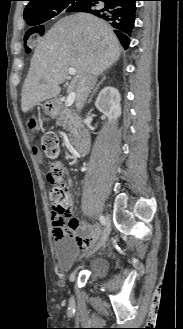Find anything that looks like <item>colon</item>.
<instances>
[{
    "label": "colon",
    "mask_w": 183,
    "mask_h": 329,
    "mask_svg": "<svg viewBox=\"0 0 183 329\" xmlns=\"http://www.w3.org/2000/svg\"><path fill=\"white\" fill-rule=\"evenodd\" d=\"M28 31H22L20 43L24 49H41L44 32H49V25H28ZM41 146L45 155L55 158L58 155V138L54 132H46L41 137ZM63 173L61 170L50 168L47 179L52 184L50 200L53 215L65 223L69 216L71 196L65 184L61 181Z\"/></svg>",
    "instance_id": "obj_1"
}]
</instances>
